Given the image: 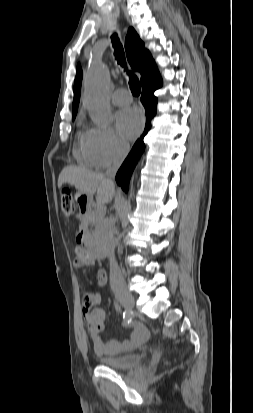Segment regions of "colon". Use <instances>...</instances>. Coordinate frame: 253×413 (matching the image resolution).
Instances as JSON below:
<instances>
[{"instance_id": "obj_1", "label": "colon", "mask_w": 253, "mask_h": 413, "mask_svg": "<svg viewBox=\"0 0 253 413\" xmlns=\"http://www.w3.org/2000/svg\"><path fill=\"white\" fill-rule=\"evenodd\" d=\"M60 209H61V213L65 217H69L75 212V204H74L72 194L67 190H63L61 192Z\"/></svg>"}]
</instances>
